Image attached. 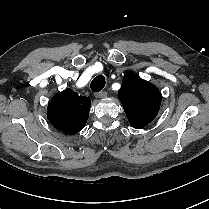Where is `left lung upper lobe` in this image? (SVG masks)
I'll return each instance as SVG.
<instances>
[{"label": "left lung upper lobe", "mask_w": 209, "mask_h": 209, "mask_svg": "<svg viewBox=\"0 0 209 209\" xmlns=\"http://www.w3.org/2000/svg\"><path fill=\"white\" fill-rule=\"evenodd\" d=\"M126 116L132 127L148 125L158 114L161 104L159 90L133 73H126L118 92Z\"/></svg>", "instance_id": "obj_1"}]
</instances>
